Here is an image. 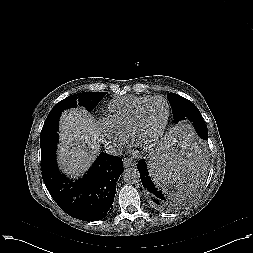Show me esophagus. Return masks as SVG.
Wrapping results in <instances>:
<instances>
[{"mask_svg":"<svg viewBox=\"0 0 253 253\" xmlns=\"http://www.w3.org/2000/svg\"><path fill=\"white\" fill-rule=\"evenodd\" d=\"M123 164H124L125 168L131 167V166L135 165V161L132 158H124L123 159Z\"/></svg>","mask_w":253,"mask_h":253,"instance_id":"obj_1","label":"esophagus"}]
</instances>
